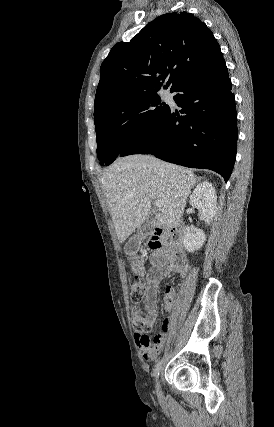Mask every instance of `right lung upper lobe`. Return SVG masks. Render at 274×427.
Masks as SVG:
<instances>
[{
	"label": "right lung upper lobe",
	"mask_w": 274,
	"mask_h": 427,
	"mask_svg": "<svg viewBox=\"0 0 274 427\" xmlns=\"http://www.w3.org/2000/svg\"><path fill=\"white\" fill-rule=\"evenodd\" d=\"M225 65L212 31L187 12L161 15L129 42H119L100 68L94 116L129 97L170 89ZM168 81L165 85V79Z\"/></svg>",
	"instance_id": "right-lung-upper-lobe-1"
}]
</instances>
